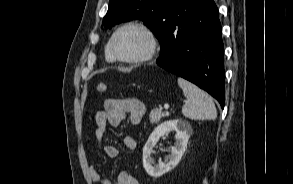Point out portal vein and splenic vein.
<instances>
[{"label": "portal vein and splenic vein", "mask_w": 293, "mask_h": 184, "mask_svg": "<svg viewBox=\"0 0 293 184\" xmlns=\"http://www.w3.org/2000/svg\"><path fill=\"white\" fill-rule=\"evenodd\" d=\"M164 109L168 110L169 109V104H165Z\"/></svg>", "instance_id": "1"}]
</instances>
